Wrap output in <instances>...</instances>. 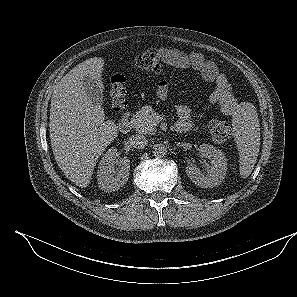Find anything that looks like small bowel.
Returning <instances> with one entry per match:
<instances>
[{
  "instance_id": "c3829d8e",
  "label": "small bowel",
  "mask_w": 297,
  "mask_h": 297,
  "mask_svg": "<svg viewBox=\"0 0 297 297\" xmlns=\"http://www.w3.org/2000/svg\"><path fill=\"white\" fill-rule=\"evenodd\" d=\"M164 63L181 68L193 69L200 73L202 78L216 84L215 90L209 96V102L220 107L223 114L235 116L240 109V104L234 96L226 75L219 71L217 65L205 58L199 52L185 53L175 48L163 47L158 51ZM169 93L168 82L162 80L157 86V95L165 99ZM179 122L188 123L191 126V111L187 106L177 107Z\"/></svg>"
}]
</instances>
